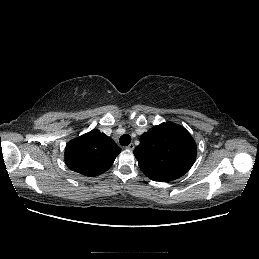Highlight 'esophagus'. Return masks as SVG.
<instances>
[{"label":"esophagus","mask_w":259,"mask_h":259,"mask_svg":"<svg viewBox=\"0 0 259 259\" xmlns=\"http://www.w3.org/2000/svg\"><path fill=\"white\" fill-rule=\"evenodd\" d=\"M134 147H135L134 144L130 143L126 148L129 149V150H133Z\"/></svg>","instance_id":"1"}]
</instances>
